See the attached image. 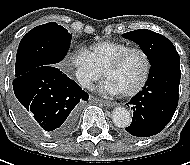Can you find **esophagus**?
<instances>
[{
  "label": "esophagus",
  "mask_w": 190,
  "mask_h": 165,
  "mask_svg": "<svg viewBox=\"0 0 190 165\" xmlns=\"http://www.w3.org/2000/svg\"><path fill=\"white\" fill-rule=\"evenodd\" d=\"M101 102L105 105V106H115L116 103L112 102V101H108V100H101Z\"/></svg>",
  "instance_id": "obj_1"
}]
</instances>
